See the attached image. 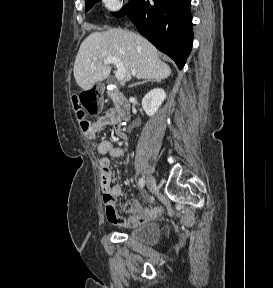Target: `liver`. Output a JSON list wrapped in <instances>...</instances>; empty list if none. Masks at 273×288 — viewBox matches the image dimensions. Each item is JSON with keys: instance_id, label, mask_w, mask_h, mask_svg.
<instances>
[{"instance_id": "liver-1", "label": "liver", "mask_w": 273, "mask_h": 288, "mask_svg": "<svg viewBox=\"0 0 273 288\" xmlns=\"http://www.w3.org/2000/svg\"><path fill=\"white\" fill-rule=\"evenodd\" d=\"M107 57L120 59L126 71L125 81L132 76L160 81L171 74L157 49L143 36L123 29L96 31L82 42L74 63V77L83 90H90L109 76L111 67L104 64Z\"/></svg>"}]
</instances>
